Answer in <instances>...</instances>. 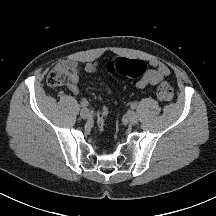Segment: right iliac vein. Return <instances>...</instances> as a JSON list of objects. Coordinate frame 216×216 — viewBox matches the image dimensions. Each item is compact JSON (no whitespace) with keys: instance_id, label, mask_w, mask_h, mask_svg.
<instances>
[{"instance_id":"63e3f726","label":"right iliac vein","mask_w":216,"mask_h":216,"mask_svg":"<svg viewBox=\"0 0 216 216\" xmlns=\"http://www.w3.org/2000/svg\"><path fill=\"white\" fill-rule=\"evenodd\" d=\"M80 116L83 119H89L91 117V113L87 108H84V109L81 110Z\"/></svg>"}]
</instances>
